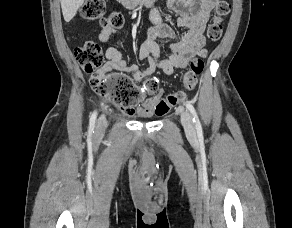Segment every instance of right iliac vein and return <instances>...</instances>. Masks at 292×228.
Returning <instances> with one entry per match:
<instances>
[{"mask_svg":"<svg viewBox=\"0 0 292 228\" xmlns=\"http://www.w3.org/2000/svg\"><path fill=\"white\" fill-rule=\"evenodd\" d=\"M106 126H107V120L104 115H101L97 121L96 135L101 136L104 133Z\"/></svg>","mask_w":292,"mask_h":228,"instance_id":"1","label":"right iliac vein"}]
</instances>
